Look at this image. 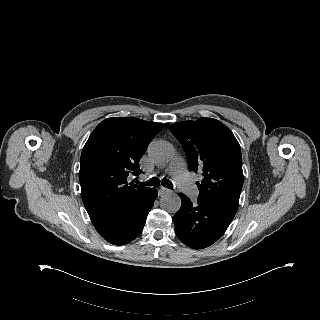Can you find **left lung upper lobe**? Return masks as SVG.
Segmentation results:
<instances>
[{"mask_svg": "<svg viewBox=\"0 0 320 320\" xmlns=\"http://www.w3.org/2000/svg\"><path fill=\"white\" fill-rule=\"evenodd\" d=\"M182 144L190 171L203 179L198 198L236 214L243 185L241 149L230 129L213 118H199L170 126Z\"/></svg>", "mask_w": 320, "mask_h": 320, "instance_id": "obj_1", "label": "left lung upper lobe"}]
</instances>
